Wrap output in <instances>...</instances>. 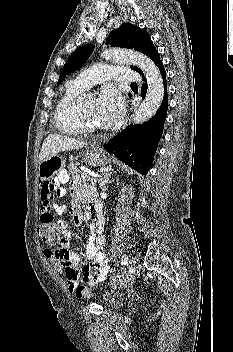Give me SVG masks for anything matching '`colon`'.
<instances>
[{"label":"colon","mask_w":233,"mask_h":352,"mask_svg":"<svg viewBox=\"0 0 233 352\" xmlns=\"http://www.w3.org/2000/svg\"><path fill=\"white\" fill-rule=\"evenodd\" d=\"M40 238L51 246L62 245L65 241L63 231L56 225L51 223H42L38 228ZM78 298H89L91 293L84 286H77L74 290Z\"/></svg>","instance_id":"colon-1"}]
</instances>
